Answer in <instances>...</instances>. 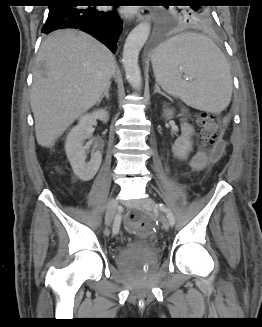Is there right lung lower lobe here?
Listing matches in <instances>:
<instances>
[{"label":"right lung lower lobe","mask_w":262,"mask_h":327,"mask_svg":"<svg viewBox=\"0 0 262 327\" xmlns=\"http://www.w3.org/2000/svg\"><path fill=\"white\" fill-rule=\"evenodd\" d=\"M74 1V0H73ZM49 14L42 32L57 29H80L105 44L113 53L122 29V21L114 12L98 11L93 6H76L72 0H51Z\"/></svg>","instance_id":"obj_1"}]
</instances>
